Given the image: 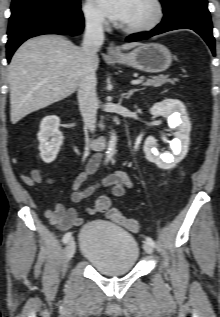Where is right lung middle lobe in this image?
<instances>
[{"mask_svg": "<svg viewBox=\"0 0 220 317\" xmlns=\"http://www.w3.org/2000/svg\"><path fill=\"white\" fill-rule=\"evenodd\" d=\"M32 9L77 13L80 11V0H13L11 4L12 15Z\"/></svg>", "mask_w": 220, "mask_h": 317, "instance_id": "right-lung-middle-lobe-1", "label": "right lung middle lobe"}]
</instances>
